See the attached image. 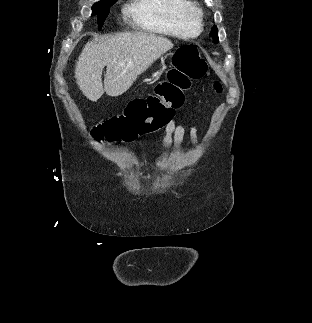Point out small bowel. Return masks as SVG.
<instances>
[{"label": "small bowel", "instance_id": "c3829d8e", "mask_svg": "<svg viewBox=\"0 0 312 323\" xmlns=\"http://www.w3.org/2000/svg\"><path fill=\"white\" fill-rule=\"evenodd\" d=\"M165 136L162 139V145L166 149L174 148L178 153L182 152V144L186 133V128L183 124L177 122L175 119L167 124L165 128ZM189 136L192 145L200 148V137L198 127L189 121Z\"/></svg>", "mask_w": 312, "mask_h": 323}]
</instances>
